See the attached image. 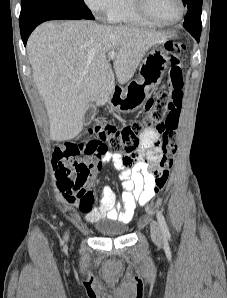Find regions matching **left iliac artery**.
<instances>
[{"mask_svg":"<svg viewBox=\"0 0 227 298\" xmlns=\"http://www.w3.org/2000/svg\"><path fill=\"white\" fill-rule=\"evenodd\" d=\"M157 220L159 222V225L161 227L162 233L164 237L169 238L170 237V232L166 223V220L164 218V215L161 211H157Z\"/></svg>","mask_w":227,"mask_h":298,"instance_id":"1","label":"left iliac artery"}]
</instances>
